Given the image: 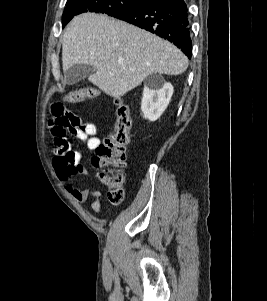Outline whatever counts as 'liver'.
<instances>
[{"label":"liver","mask_w":267,"mask_h":301,"mask_svg":"<svg viewBox=\"0 0 267 301\" xmlns=\"http://www.w3.org/2000/svg\"><path fill=\"white\" fill-rule=\"evenodd\" d=\"M93 66L88 80L119 99L153 73L180 75L187 57L173 44L104 14L84 13L72 19L62 42V67Z\"/></svg>","instance_id":"liver-1"}]
</instances>
